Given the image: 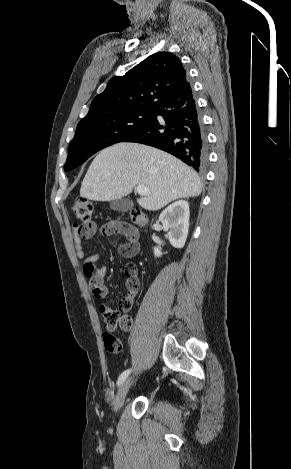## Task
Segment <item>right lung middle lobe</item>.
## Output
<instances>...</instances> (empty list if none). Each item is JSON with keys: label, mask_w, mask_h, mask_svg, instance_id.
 Listing matches in <instances>:
<instances>
[{"label": "right lung middle lobe", "mask_w": 291, "mask_h": 469, "mask_svg": "<svg viewBox=\"0 0 291 469\" xmlns=\"http://www.w3.org/2000/svg\"><path fill=\"white\" fill-rule=\"evenodd\" d=\"M152 116L153 110L135 109L105 118L80 121L69 145L64 170L69 171L99 150L123 141L144 126Z\"/></svg>", "instance_id": "obj_1"}]
</instances>
